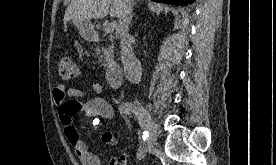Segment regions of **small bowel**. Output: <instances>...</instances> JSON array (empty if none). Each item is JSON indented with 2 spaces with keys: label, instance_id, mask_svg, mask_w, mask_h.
Instances as JSON below:
<instances>
[{
  "label": "small bowel",
  "instance_id": "c3829d8e",
  "mask_svg": "<svg viewBox=\"0 0 276 165\" xmlns=\"http://www.w3.org/2000/svg\"><path fill=\"white\" fill-rule=\"evenodd\" d=\"M53 101L57 106V113L64 135L82 165H101V161L85 143L74 125V116L84 111L92 116V124L97 126L101 120H110L114 116L113 107L102 96V87L98 83H90L87 89L66 87L59 84L54 87ZM83 100L84 98L88 97ZM109 165H127V155L112 156Z\"/></svg>",
  "mask_w": 276,
  "mask_h": 165
}]
</instances>
